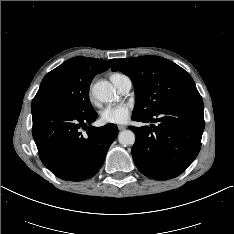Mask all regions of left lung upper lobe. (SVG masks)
<instances>
[{"label":"left lung upper lobe","mask_w":234,"mask_h":234,"mask_svg":"<svg viewBox=\"0 0 234 234\" xmlns=\"http://www.w3.org/2000/svg\"><path fill=\"white\" fill-rule=\"evenodd\" d=\"M112 71L130 77L135 88L132 118H143L184 98L199 94L192 77L172 61L158 56L117 59Z\"/></svg>","instance_id":"5c2ea615"}]
</instances>
